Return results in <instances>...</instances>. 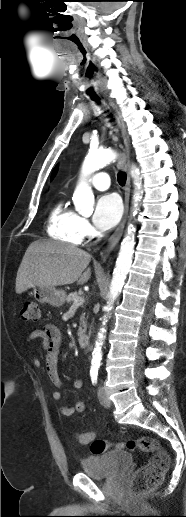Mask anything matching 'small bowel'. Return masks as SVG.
Masks as SVG:
<instances>
[{
	"label": "small bowel",
	"instance_id": "small-bowel-1",
	"mask_svg": "<svg viewBox=\"0 0 186 517\" xmlns=\"http://www.w3.org/2000/svg\"><path fill=\"white\" fill-rule=\"evenodd\" d=\"M42 339L43 347L47 353L46 356V371L50 381L57 387L61 388L64 386L63 381L61 380L58 374V356L60 353L61 345H62V333L60 328L54 323H45L40 328L32 330L26 338V343H31L34 340ZM35 365H40V361L35 358ZM83 386V381L81 379H76L72 383V387L74 389H80ZM53 399L59 401L61 399V393L55 391L53 393ZM85 409V404L82 401H77L74 405L69 407H61V413L65 416H70L76 412H82ZM78 437L86 438V440L81 441L78 440L80 444L87 445L89 444L90 438H95L94 432H88L85 434H81Z\"/></svg>",
	"mask_w": 186,
	"mask_h": 517
}]
</instances>
